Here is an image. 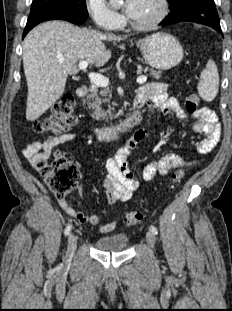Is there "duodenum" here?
Listing matches in <instances>:
<instances>
[{"mask_svg":"<svg viewBox=\"0 0 232 311\" xmlns=\"http://www.w3.org/2000/svg\"><path fill=\"white\" fill-rule=\"evenodd\" d=\"M87 91V85L82 84L77 88L76 93L79 97H84L87 94ZM134 105L135 113L128 117L121 124L116 126L94 128L93 132L98 137V139L103 142L121 140L127 132L132 130L134 126L140 121V108L142 107L143 103L141 100L136 98L134 100Z\"/></svg>","mask_w":232,"mask_h":311,"instance_id":"410a0bca","label":"duodenum"}]
</instances>
